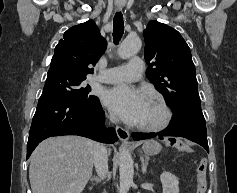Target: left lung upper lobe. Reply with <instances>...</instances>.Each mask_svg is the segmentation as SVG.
<instances>
[{"label": "left lung upper lobe", "instance_id": "1", "mask_svg": "<svg viewBox=\"0 0 237 193\" xmlns=\"http://www.w3.org/2000/svg\"><path fill=\"white\" fill-rule=\"evenodd\" d=\"M148 79L173 108L172 122L205 121L198 95L196 70L190 48L180 33L157 21L144 30Z\"/></svg>", "mask_w": 237, "mask_h": 193}]
</instances>
